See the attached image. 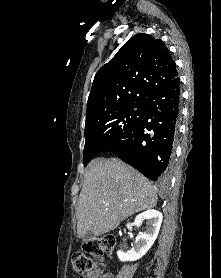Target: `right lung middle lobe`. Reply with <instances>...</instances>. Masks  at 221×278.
I'll return each mask as SVG.
<instances>
[{"label": "right lung middle lobe", "instance_id": "1", "mask_svg": "<svg viewBox=\"0 0 221 278\" xmlns=\"http://www.w3.org/2000/svg\"><path fill=\"white\" fill-rule=\"evenodd\" d=\"M144 115V102H137L118 108L103 117L86 121L84 166L105 146L132 131Z\"/></svg>", "mask_w": 221, "mask_h": 278}]
</instances>
